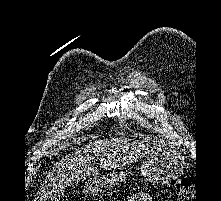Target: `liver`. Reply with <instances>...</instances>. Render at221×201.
Listing matches in <instances>:
<instances>
[{"label": "liver", "mask_w": 221, "mask_h": 201, "mask_svg": "<svg viewBox=\"0 0 221 201\" xmlns=\"http://www.w3.org/2000/svg\"><path fill=\"white\" fill-rule=\"evenodd\" d=\"M161 147L146 141L129 138L97 140L66 155L47 175L39 191V201H45L56 188H64L95 176L99 161L105 170L129 165Z\"/></svg>", "instance_id": "1"}]
</instances>
